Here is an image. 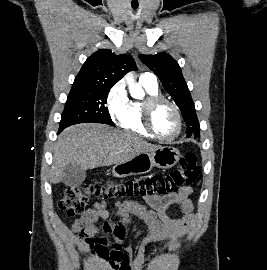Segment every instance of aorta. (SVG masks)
Here are the masks:
<instances>
[{
  "label": "aorta",
  "mask_w": 267,
  "mask_h": 270,
  "mask_svg": "<svg viewBox=\"0 0 267 270\" xmlns=\"http://www.w3.org/2000/svg\"><path fill=\"white\" fill-rule=\"evenodd\" d=\"M126 79H127L128 88H129V92H130L131 96L134 98H141L143 95L142 88L139 85L135 84L128 77Z\"/></svg>",
  "instance_id": "obj_1"
}]
</instances>
